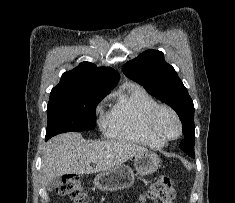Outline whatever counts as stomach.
<instances>
[{"mask_svg": "<svg viewBox=\"0 0 235 203\" xmlns=\"http://www.w3.org/2000/svg\"><path fill=\"white\" fill-rule=\"evenodd\" d=\"M159 163L158 155L148 150L139 152L134 156V168L138 175L154 173L158 169ZM134 180V171L126 165H120L99 173L93 183L101 191H117L129 188Z\"/></svg>", "mask_w": 235, "mask_h": 203, "instance_id": "stomach-1", "label": "stomach"}]
</instances>
